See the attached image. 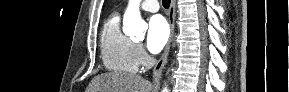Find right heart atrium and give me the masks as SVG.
I'll use <instances>...</instances> for the list:
<instances>
[{
  "label": "right heart atrium",
  "mask_w": 289,
  "mask_h": 92,
  "mask_svg": "<svg viewBox=\"0 0 289 92\" xmlns=\"http://www.w3.org/2000/svg\"><path fill=\"white\" fill-rule=\"evenodd\" d=\"M135 54L139 64H145L147 61V55L140 45L135 46Z\"/></svg>",
  "instance_id": "right-heart-atrium-1"
}]
</instances>
